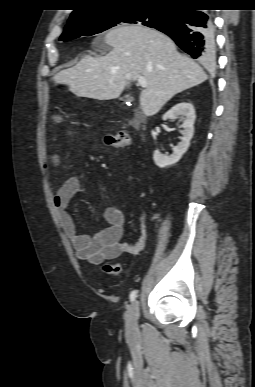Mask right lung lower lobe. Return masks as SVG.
<instances>
[{
  "label": "right lung lower lobe",
  "instance_id": "98d812e1",
  "mask_svg": "<svg viewBox=\"0 0 255 387\" xmlns=\"http://www.w3.org/2000/svg\"><path fill=\"white\" fill-rule=\"evenodd\" d=\"M201 4L172 7L164 25L156 29L170 36L192 58L210 65L215 62L214 24L211 13L198 8Z\"/></svg>",
  "mask_w": 255,
  "mask_h": 387
}]
</instances>
